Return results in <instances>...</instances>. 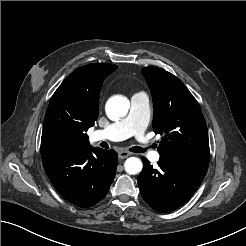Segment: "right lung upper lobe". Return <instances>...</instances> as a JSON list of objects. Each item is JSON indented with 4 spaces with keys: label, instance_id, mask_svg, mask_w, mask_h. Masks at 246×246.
<instances>
[{
    "label": "right lung upper lobe",
    "instance_id": "obj_1",
    "mask_svg": "<svg viewBox=\"0 0 246 246\" xmlns=\"http://www.w3.org/2000/svg\"><path fill=\"white\" fill-rule=\"evenodd\" d=\"M116 65L94 63L73 71L53 94L44 119L42 158L58 150L90 147L86 131L98 118L104 79Z\"/></svg>",
    "mask_w": 246,
    "mask_h": 246
}]
</instances>
